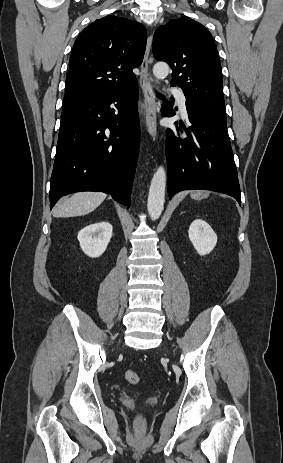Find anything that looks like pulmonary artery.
Instances as JSON below:
<instances>
[{
	"mask_svg": "<svg viewBox=\"0 0 283 463\" xmlns=\"http://www.w3.org/2000/svg\"><path fill=\"white\" fill-rule=\"evenodd\" d=\"M172 94L176 97L177 101L179 102L180 109L182 111V114L184 117H187V111H186V97L184 93L181 90L178 89H172Z\"/></svg>",
	"mask_w": 283,
	"mask_h": 463,
	"instance_id": "pulmonary-artery-1",
	"label": "pulmonary artery"
}]
</instances>
